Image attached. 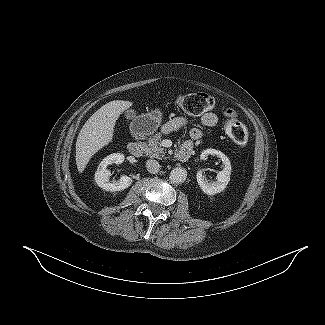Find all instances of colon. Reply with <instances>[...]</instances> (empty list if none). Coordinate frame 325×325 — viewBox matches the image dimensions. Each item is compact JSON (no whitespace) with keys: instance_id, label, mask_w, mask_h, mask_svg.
Masks as SVG:
<instances>
[{"instance_id":"obj_1","label":"colon","mask_w":325,"mask_h":325,"mask_svg":"<svg viewBox=\"0 0 325 325\" xmlns=\"http://www.w3.org/2000/svg\"><path fill=\"white\" fill-rule=\"evenodd\" d=\"M216 99L206 93H191L181 95L176 99V105L187 115L197 116L212 110L216 106ZM226 132L238 146H245L248 134L245 126L234 116L226 121Z\"/></svg>"}]
</instances>
